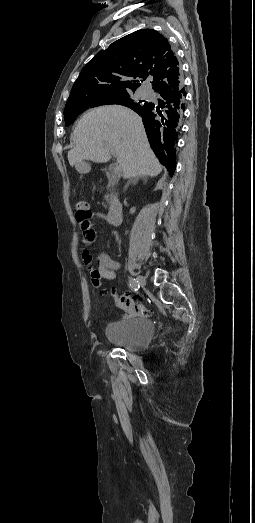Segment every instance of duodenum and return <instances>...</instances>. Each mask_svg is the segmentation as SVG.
Segmentation results:
<instances>
[{
    "label": "duodenum",
    "instance_id": "duodenum-1",
    "mask_svg": "<svg viewBox=\"0 0 255 523\" xmlns=\"http://www.w3.org/2000/svg\"><path fill=\"white\" fill-rule=\"evenodd\" d=\"M107 221L112 226H118L122 221V207L118 202H113L107 213Z\"/></svg>",
    "mask_w": 255,
    "mask_h": 523
}]
</instances>
